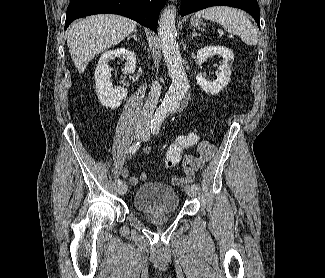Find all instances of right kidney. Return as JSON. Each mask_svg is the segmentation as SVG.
<instances>
[{"label": "right kidney", "instance_id": "1", "mask_svg": "<svg viewBox=\"0 0 325 278\" xmlns=\"http://www.w3.org/2000/svg\"><path fill=\"white\" fill-rule=\"evenodd\" d=\"M116 57L125 58L126 60L124 68L125 76L134 73L136 69V55L125 47L106 51L100 57L95 70L96 92L101 104L111 109L119 107L122 101L126 99L128 93L124 87L113 88L110 81L111 68L108 63Z\"/></svg>", "mask_w": 325, "mask_h": 278}]
</instances>
